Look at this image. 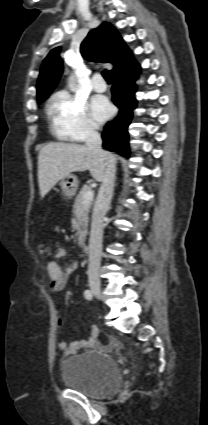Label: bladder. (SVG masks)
<instances>
[{
	"instance_id": "obj_1",
	"label": "bladder",
	"mask_w": 208,
	"mask_h": 425,
	"mask_svg": "<svg viewBox=\"0 0 208 425\" xmlns=\"http://www.w3.org/2000/svg\"><path fill=\"white\" fill-rule=\"evenodd\" d=\"M61 375L68 388L93 398L110 396L122 381L115 360L98 350L64 358Z\"/></svg>"
}]
</instances>
